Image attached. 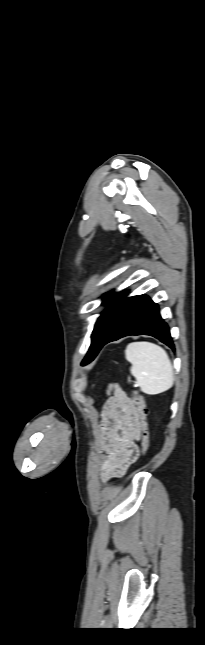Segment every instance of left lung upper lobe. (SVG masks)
<instances>
[{
	"label": "left lung upper lobe",
	"mask_w": 205,
	"mask_h": 645,
	"mask_svg": "<svg viewBox=\"0 0 205 645\" xmlns=\"http://www.w3.org/2000/svg\"><path fill=\"white\" fill-rule=\"evenodd\" d=\"M102 297H103L102 304L110 305V307H108L106 310H104L101 313V316L98 318L95 324V328L91 336V339H92L91 346L89 348L87 355L82 361V365H86L89 362H91L98 354L101 343L107 332L112 306L115 303L118 297V294L113 292H108V293H105Z\"/></svg>",
	"instance_id": "left-lung-upper-lobe-1"
}]
</instances>
